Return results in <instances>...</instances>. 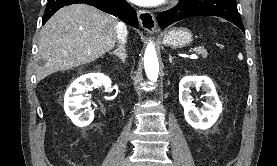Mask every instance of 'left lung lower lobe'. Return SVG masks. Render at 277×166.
Here are the masks:
<instances>
[{"label": "left lung lower lobe", "instance_id": "0a47b994", "mask_svg": "<svg viewBox=\"0 0 277 166\" xmlns=\"http://www.w3.org/2000/svg\"><path fill=\"white\" fill-rule=\"evenodd\" d=\"M203 15L224 18L245 33L235 0H179L175 7L161 12L157 20L159 26L165 28L174 22Z\"/></svg>", "mask_w": 277, "mask_h": 166}]
</instances>
